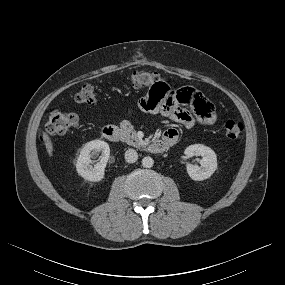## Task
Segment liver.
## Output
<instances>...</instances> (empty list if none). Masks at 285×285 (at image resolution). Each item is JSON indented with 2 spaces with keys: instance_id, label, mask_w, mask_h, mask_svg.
<instances>
[{
  "instance_id": "liver-1",
  "label": "liver",
  "mask_w": 285,
  "mask_h": 285,
  "mask_svg": "<svg viewBox=\"0 0 285 285\" xmlns=\"http://www.w3.org/2000/svg\"><path fill=\"white\" fill-rule=\"evenodd\" d=\"M43 140L46 146L47 153L49 154L50 157L53 156V143L46 132H43Z\"/></svg>"
}]
</instances>
